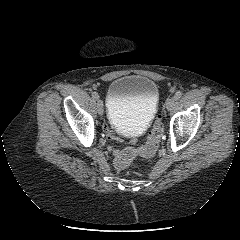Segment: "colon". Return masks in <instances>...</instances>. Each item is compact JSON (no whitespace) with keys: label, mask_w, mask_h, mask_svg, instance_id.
Returning <instances> with one entry per match:
<instances>
[{"label":"colon","mask_w":240,"mask_h":240,"mask_svg":"<svg viewBox=\"0 0 240 240\" xmlns=\"http://www.w3.org/2000/svg\"><path fill=\"white\" fill-rule=\"evenodd\" d=\"M163 134V124L158 118L149 133L148 139L143 146H130L121 151L115 158V167L119 170L127 168L133 159L137 156L150 157L157 151L161 137Z\"/></svg>","instance_id":"colon-1"}]
</instances>
